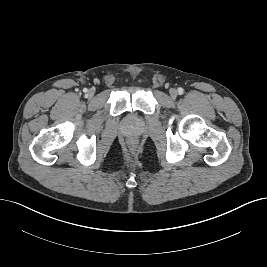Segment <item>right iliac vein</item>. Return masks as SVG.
<instances>
[{"label":"right iliac vein","instance_id":"right-iliac-vein-1","mask_svg":"<svg viewBox=\"0 0 267 267\" xmlns=\"http://www.w3.org/2000/svg\"><path fill=\"white\" fill-rule=\"evenodd\" d=\"M93 95H94V91H93L92 89L89 90V91H88V96H89V97H92Z\"/></svg>","mask_w":267,"mask_h":267}]
</instances>
